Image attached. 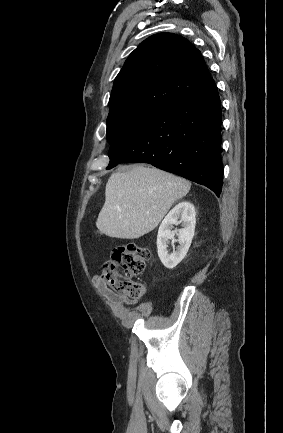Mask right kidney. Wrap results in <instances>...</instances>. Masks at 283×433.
Returning <instances> with one entry per match:
<instances>
[{
	"label": "right kidney",
	"instance_id": "ca27d5eb",
	"mask_svg": "<svg viewBox=\"0 0 283 433\" xmlns=\"http://www.w3.org/2000/svg\"><path fill=\"white\" fill-rule=\"evenodd\" d=\"M182 223L181 229L172 231L173 225ZM196 224L195 207L188 201L177 204L162 221L157 235L158 256L168 269L176 267L186 256L191 245ZM178 235L179 246L172 253L167 250L169 240Z\"/></svg>",
	"mask_w": 283,
	"mask_h": 433
}]
</instances>
